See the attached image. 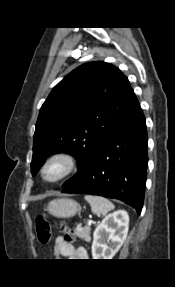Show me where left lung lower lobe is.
<instances>
[{"label": "left lung lower lobe", "mask_w": 175, "mask_h": 287, "mask_svg": "<svg viewBox=\"0 0 175 287\" xmlns=\"http://www.w3.org/2000/svg\"><path fill=\"white\" fill-rule=\"evenodd\" d=\"M147 140L145 117L138 103L99 145L88 171L62 192L119 199L140 214L147 176Z\"/></svg>", "instance_id": "1"}]
</instances>
